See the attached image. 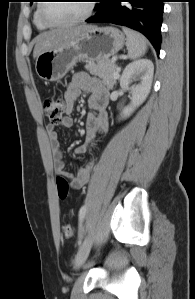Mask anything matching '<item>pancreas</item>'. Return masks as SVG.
<instances>
[{"label": "pancreas", "instance_id": "pancreas-1", "mask_svg": "<svg viewBox=\"0 0 195 299\" xmlns=\"http://www.w3.org/2000/svg\"><path fill=\"white\" fill-rule=\"evenodd\" d=\"M85 69L90 72L91 75L98 76L102 79L103 83L111 89L116 83L114 72L117 69L115 61L112 59H101L95 62H88L85 65Z\"/></svg>", "mask_w": 195, "mask_h": 299}]
</instances>
